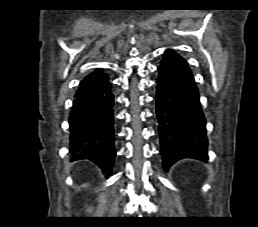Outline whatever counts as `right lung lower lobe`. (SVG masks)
<instances>
[{
  "label": "right lung lower lobe",
  "instance_id": "obj_1",
  "mask_svg": "<svg viewBox=\"0 0 258 227\" xmlns=\"http://www.w3.org/2000/svg\"><path fill=\"white\" fill-rule=\"evenodd\" d=\"M113 105L105 73L97 69L81 81L69 116L72 161L88 159L104 172H112L116 155Z\"/></svg>",
  "mask_w": 258,
  "mask_h": 227
}]
</instances>
